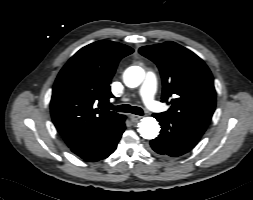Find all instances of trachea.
I'll use <instances>...</instances> for the list:
<instances>
[{
  "label": "trachea",
  "mask_w": 253,
  "mask_h": 200,
  "mask_svg": "<svg viewBox=\"0 0 253 200\" xmlns=\"http://www.w3.org/2000/svg\"><path fill=\"white\" fill-rule=\"evenodd\" d=\"M107 107L109 109H112L117 112H125V113L130 112V113H133L136 115H143V110L140 107L131 106L129 104H123V105H119V106H113V105L109 104Z\"/></svg>",
  "instance_id": "3493384b"
}]
</instances>
